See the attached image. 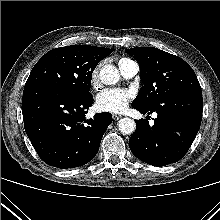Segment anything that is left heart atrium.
I'll return each instance as SVG.
<instances>
[{"label":"left heart atrium","mask_w":220,"mask_h":220,"mask_svg":"<svg viewBox=\"0 0 220 220\" xmlns=\"http://www.w3.org/2000/svg\"><path fill=\"white\" fill-rule=\"evenodd\" d=\"M132 97L130 90L108 88L97 95L96 106L100 111L118 113L127 107Z\"/></svg>","instance_id":"obj_1"}]
</instances>
